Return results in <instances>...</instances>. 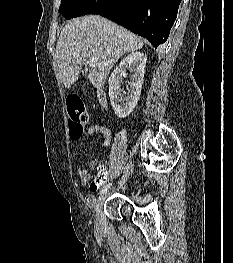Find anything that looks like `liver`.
Listing matches in <instances>:
<instances>
[{"mask_svg":"<svg viewBox=\"0 0 233 263\" xmlns=\"http://www.w3.org/2000/svg\"><path fill=\"white\" fill-rule=\"evenodd\" d=\"M143 45L137 35L104 17L88 15L73 19L62 29L56 45L61 80L66 88H70L86 60L96 58L101 64L98 70L91 66L86 73L92 85L100 89L118 59Z\"/></svg>","mask_w":233,"mask_h":263,"instance_id":"6515ba94","label":"liver"}]
</instances>
